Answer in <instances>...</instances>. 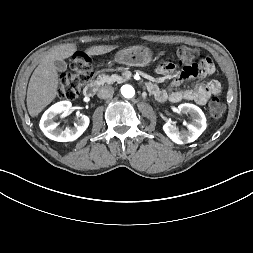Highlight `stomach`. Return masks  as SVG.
Returning a JSON list of instances; mask_svg holds the SVG:
<instances>
[{
	"label": "stomach",
	"instance_id": "0dacf381",
	"mask_svg": "<svg viewBox=\"0 0 253 253\" xmlns=\"http://www.w3.org/2000/svg\"><path fill=\"white\" fill-rule=\"evenodd\" d=\"M152 55L149 48L136 45L119 50L115 54V61L129 66L145 67L151 63Z\"/></svg>",
	"mask_w": 253,
	"mask_h": 253
}]
</instances>
